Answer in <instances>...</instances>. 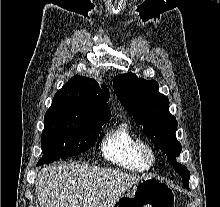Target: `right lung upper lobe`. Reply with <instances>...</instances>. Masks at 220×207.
Returning <instances> with one entry per match:
<instances>
[{"label": "right lung upper lobe", "instance_id": "obj_1", "mask_svg": "<svg viewBox=\"0 0 220 207\" xmlns=\"http://www.w3.org/2000/svg\"><path fill=\"white\" fill-rule=\"evenodd\" d=\"M58 99L71 100L82 109L90 111L104 120H109L111 112L106 102L109 91L105 84L101 86L94 80L79 75L73 76L54 96Z\"/></svg>", "mask_w": 220, "mask_h": 207}]
</instances>
